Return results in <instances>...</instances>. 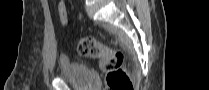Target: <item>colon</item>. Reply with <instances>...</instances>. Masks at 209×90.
<instances>
[{
	"mask_svg": "<svg viewBox=\"0 0 209 90\" xmlns=\"http://www.w3.org/2000/svg\"><path fill=\"white\" fill-rule=\"evenodd\" d=\"M58 16L61 24L66 25L68 14L64 1L59 3ZM77 51L80 56L99 60L109 90H133L132 81L124 67V55L120 51L102 45L92 36L80 38Z\"/></svg>",
	"mask_w": 209,
	"mask_h": 90,
	"instance_id": "5ec220e1",
	"label": "colon"
}]
</instances>
